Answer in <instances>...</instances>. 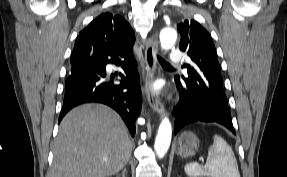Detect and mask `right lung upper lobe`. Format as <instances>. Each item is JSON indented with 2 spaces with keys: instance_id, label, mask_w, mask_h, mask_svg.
Listing matches in <instances>:
<instances>
[{
  "instance_id": "cb5924a9",
  "label": "right lung upper lobe",
  "mask_w": 287,
  "mask_h": 177,
  "mask_svg": "<svg viewBox=\"0 0 287 177\" xmlns=\"http://www.w3.org/2000/svg\"><path fill=\"white\" fill-rule=\"evenodd\" d=\"M134 32L129 23L121 16L102 13L94 19L76 38L71 55V65L90 57L93 50L122 45L133 48Z\"/></svg>"
}]
</instances>
